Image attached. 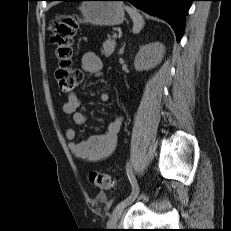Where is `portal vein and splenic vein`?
<instances>
[{
	"instance_id": "portal-vein-and-splenic-vein-1",
	"label": "portal vein and splenic vein",
	"mask_w": 231,
	"mask_h": 231,
	"mask_svg": "<svg viewBox=\"0 0 231 231\" xmlns=\"http://www.w3.org/2000/svg\"><path fill=\"white\" fill-rule=\"evenodd\" d=\"M113 36H114V38H117V37H118L116 33H114V35H113Z\"/></svg>"
}]
</instances>
